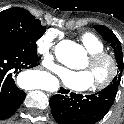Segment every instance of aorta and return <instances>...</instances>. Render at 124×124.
<instances>
[{"instance_id": "762f6f07", "label": "aorta", "mask_w": 124, "mask_h": 124, "mask_svg": "<svg viewBox=\"0 0 124 124\" xmlns=\"http://www.w3.org/2000/svg\"><path fill=\"white\" fill-rule=\"evenodd\" d=\"M62 50L74 61H77L85 56L84 49L72 41H64L62 44ZM43 89L50 92L57 91L59 89L58 80L54 77L49 78L44 84Z\"/></svg>"}]
</instances>
